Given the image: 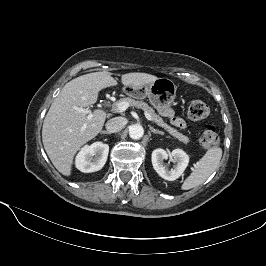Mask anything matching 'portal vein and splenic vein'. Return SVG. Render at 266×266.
I'll use <instances>...</instances> for the list:
<instances>
[{
	"instance_id": "portal-vein-and-splenic-vein-1",
	"label": "portal vein and splenic vein",
	"mask_w": 266,
	"mask_h": 266,
	"mask_svg": "<svg viewBox=\"0 0 266 266\" xmlns=\"http://www.w3.org/2000/svg\"><path fill=\"white\" fill-rule=\"evenodd\" d=\"M128 107H129V103L128 102L121 101V102L117 103L116 110L122 112V111H125ZM74 109L78 113L86 114L87 115V120H90L93 117V113L90 110H88V109L81 108V107H76V106L74 107ZM144 115L149 121H153L152 117H151V115L149 113L144 112ZM85 129H86V124H84L82 126L81 130L84 131Z\"/></svg>"
}]
</instances>
